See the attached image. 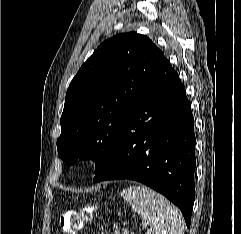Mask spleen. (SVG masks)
Segmentation results:
<instances>
[{
    "label": "spleen",
    "instance_id": "3e777b00",
    "mask_svg": "<svg viewBox=\"0 0 241 234\" xmlns=\"http://www.w3.org/2000/svg\"><path fill=\"white\" fill-rule=\"evenodd\" d=\"M124 198L141 215L143 228L152 234H184V221L178 209L160 193L146 186L123 189Z\"/></svg>",
    "mask_w": 241,
    "mask_h": 234
}]
</instances>
